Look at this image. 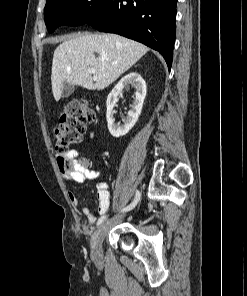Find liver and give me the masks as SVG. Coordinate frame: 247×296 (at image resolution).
Masks as SVG:
<instances>
[{
	"label": "liver",
	"mask_w": 247,
	"mask_h": 296,
	"mask_svg": "<svg viewBox=\"0 0 247 296\" xmlns=\"http://www.w3.org/2000/svg\"><path fill=\"white\" fill-rule=\"evenodd\" d=\"M148 47L117 34L69 36L54 51L51 84L54 99L64 83L103 90L148 52ZM89 68L96 70L88 73ZM93 75V76H92Z\"/></svg>",
	"instance_id": "1"
}]
</instances>
